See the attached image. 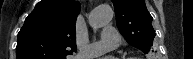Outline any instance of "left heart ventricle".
I'll use <instances>...</instances> for the list:
<instances>
[{
  "label": "left heart ventricle",
  "instance_id": "1",
  "mask_svg": "<svg viewBox=\"0 0 193 59\" xmlns=\"http://www.w3.org/2000/svg\"><path fill=\"white\" fill-rule=\"evenodd\" d=\"M111 51H112V49H110V48H107V49L104 50L105 53H108V52H111Z\"/></svg>",
  "mask_w": 193,
  "mask_h": 59
}]
</instances>
